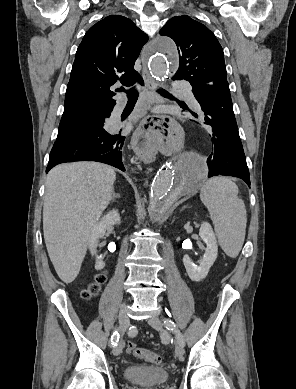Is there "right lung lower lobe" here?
Masks as SVG:
<instances>
[{"label":"right lung lower lobe","instance_id":"obj_1","mask_svg":"<svg viewBox=\"0 0 296 389\" xmlns=\"http://www.w3.org/2000/svg\"><path fill=\"white\" fill-rule=\"evenodd\" d=\"M140 83L143 84V80ZM103 126L91 132L56 140L46 173L60 163L74 161H98L125 171L121 160L125 136L111 134Z\"/></svg>","mask_w":296,"mask_h":389}]
</instances>
